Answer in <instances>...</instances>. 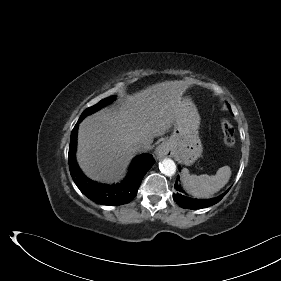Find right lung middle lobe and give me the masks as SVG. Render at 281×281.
I'll use <instances>...</instances> for the list:
<instances>
[{
  "label": "right lung middle lobe",
  "instance_id": "obj_1",
  "mask_svg": "<svg viewBox=\"0 0 281 281\" xmlns=\"http://www.w3.org/2000/svg\"><path fill=\"white\" fill-rule=\"evenodd\" d=\"M115 96L112 97H108L106 99L101 100L100 102H98L96 105L87 108L82 115L80 116V118L84 119V117H86L87 115L99 110L100 108L104 107L105 105L111 103L114 100Z\"/></svg>",
  "mask_w": 281,
  "mask_h": 281
}]
</instances>
